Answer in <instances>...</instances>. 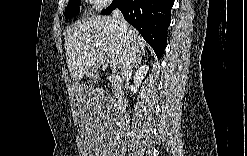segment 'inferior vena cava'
<instances>
[{
  "instance_id": "obj_1",
  "label": "inferior vena cava",
  "mask_w": 247,
  "mask_h": 156,
  "mask_svg": "<svg viewBox=\"0 0 247 156\" xmlns=\"http://www.w3.org/2000/svg\"><path fill=\"white\" fill-rule=\"evenodd\" d=\"M112 16L115 20V22L119 25L120 30L122 33L125 35H128L129 33V25L126 23V21L123 18V15L120 10L115 9L112 12ZM136 59V51L131 44V42L126 43V51L123 55V60L120 66V74H121V79L119 82H117V86H120L123 84L124 79L131 74L132 72V65L135 62Z\"/></svg>"
}]
</instances>
